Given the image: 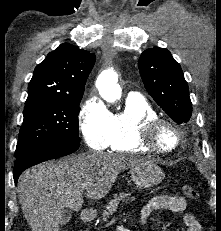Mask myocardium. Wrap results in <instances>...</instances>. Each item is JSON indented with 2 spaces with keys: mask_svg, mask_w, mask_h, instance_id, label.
Returning a JSON list of instances; mask_svg holds the SVG:
<instances>
[{
  "mask_svg": "<svg viewBox=\"0 0 221 231\" xmlns=\"http://www.w3.org/2000/svg\"><path fill=\"white\" fill-rule=\"evenodd\" d=\"M139 142L149 151L156 154H169L175 151L181 143V132L176 124L168 119L161 117L146 118L140 123ZM170 129L175 136V141L168 148L161 147L157 141L159 132L164 129Z\"/></svg>",
  "mask_w": 221,
  "mask_h": 231,
  "instance_id": "1",
  "label": "myocardium"
}]
</instances>
